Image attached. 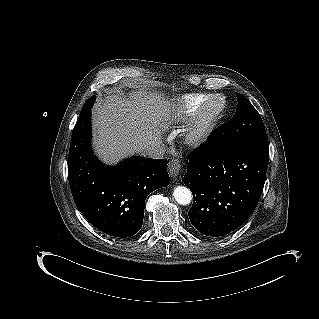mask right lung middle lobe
Wrapping results in <instances>:
<instances>
[{"label": "right lung middle lobe", "mask_w": 319, "mask_h": 319, "mask_svg": "<svg viewBox=\"0 0 319 319\" xmlns=\"http://www.w3.org/2000/svg\"><path fill=\"white\" fill-rule=\"evenodd\" d=\"M94 100H95V96H92L85 102V104L80 112L79 117L84 115L89 109H91V107L94 103Z\"/></svg>", "instance_id": "1"}]
</instances>
